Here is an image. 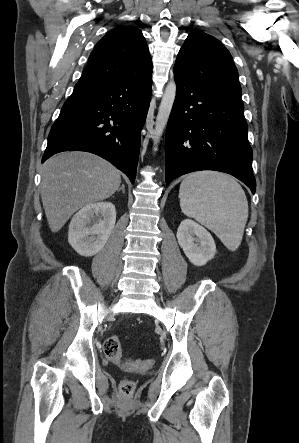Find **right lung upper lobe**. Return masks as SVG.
<instances>
[{"mask_svg":"<svg viewBox=\"0 0 299 443\" xmlns=\"http://www.w3.org/2000/svg\"><path fill=\"white\" fill-rule=\"evenodd\" d=\"M150 74L152 61L141 30L118 26L96 44L78 83H102Z\"/></svg>","mask_w":299,"mask_h":443,"instance_id":"right-lung-upper-lobe-1","label":"right lung upper lobe"}]
</instances>
